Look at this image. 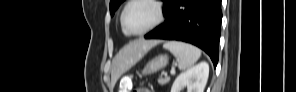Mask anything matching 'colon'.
<instances>
[{
  "label": "colon",
  "instance_id": "1",
  "mask_svg": "<svg viewBox=\"0 0 296 92\" xmlns=\"http://www.w3.org/2000/svg\"><path fill=\"white\" fill-rule=\"evenodd\" d=\"M119 91L120 92H149L147 89L134 88L133 77L131 75H127L121 79L119 84Z\"/></svg>",
  "mask_w": 296,
  "mask_h": 92
}]
</instances>
